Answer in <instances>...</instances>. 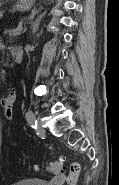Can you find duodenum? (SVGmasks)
<instances>
[{
  "mask_svg": "<svg viewBox=\"0 0 119 185\" xmlns=\"http://www.w3.org/2000/svg\"><path fill=\"white\" fill-rule=\"evenodd\" d=\"M11 52H12V56H13L14 61L16 63H20L22 61V57H23L22 49H20L18 47H13Z\"/></svg>",
  "mask_w": 119,
  "mask_h": 185,
  "instance_id": "obj_1",
  "label": "duodenum"
}]
</instances>
